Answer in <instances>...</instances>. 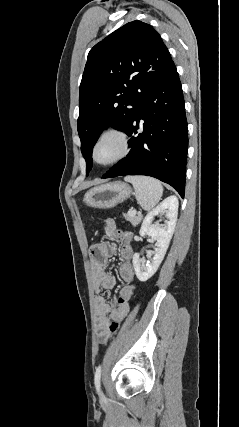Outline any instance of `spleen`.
<instances>
[{
	"instance_id": "1",
	"label": "spleen",
	"mask_w": 239,
	"mask_h": 427,
	"mask_svg": "<svg viewBox=\"0 0 239 427\" xmlns=\"http://www.w3.org/2000/svg\"><path fill=\"white\" fill-rule=\"evenodd\" d=\"M125 181L132 183L136 199L144 210H151L161 200L163 187L158 180L148 176H127Z\"/></svg>"
}]
</instances>
